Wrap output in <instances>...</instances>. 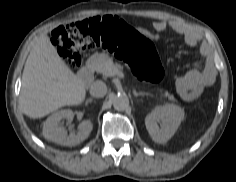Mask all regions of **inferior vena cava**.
I'll return each instance as SVG.
<instances>
[{
	"mask_svg": "<svg viewBox=\"0 0 236 182\" xmlns=\"http://www.w3.org/2000/svg\"><path fill=\"white\" fill-rule=\"evenodd\" d=\"M107 93V86L102 81H95L90 87V94L95 98H102Z\"/></svg>",
	"mask_w": 236,
	"mask_h": 182,
	"instance_id": "1",
	"label": "inferior vena cava"
}]
</instances>
